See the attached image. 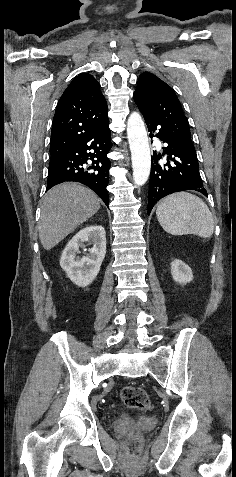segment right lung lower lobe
Instances as JSON below:
<instances>
[{
	"label": "right lung lower lobe",
	"instance_id": "1",
	"mask_svg": "<svg viewBox=\"0 0 236 477\" xmlns=\"http://www.w3.org/2000/svg\"><path fill=\"white\" fill-rule=\"evenodd\" d=\"M111 143L109 122L97 129L64 154L51 158L47 190L66 181L80 182L90 187L108 206L106 189L109 183L110 160L107 157Z\"/></svg>",
	"mask_w": 236,
	"mask_h": 477
}]
</instances>
